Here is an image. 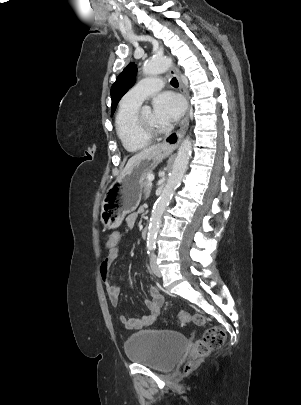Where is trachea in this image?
<instances>
[{
    "label": "trachea",
    "mask_w": 301,
    "mask_h": 405,
    "mask_svg": "<svg viewBox=\"0 0 301 405\" xmlns=\"http://www.w3.org/2000/svg\"><path fill=\"white\" fill-rule=\"evenodd\" d=\"M171 85H172L173 87H178V86H179L178 80H177L175 77H173V78L171 79Z\"/></svg>",
    "instance_id": "1"
}]
</instances>
